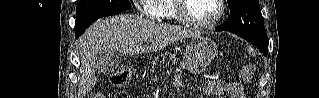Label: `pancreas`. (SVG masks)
Segmentation results:
<instances>
[{
  "mask_svg": "<svg viewBox=\"0 0 319 98\" xmlns=\"http://www.w3.org/2000/svg\"><path fill=\"white\" fill-rule=\"evenodd\" d=\"M161 56H162L163 60H164L165 58H167V59H168V62H176V57H175L174 54H171V53H169V52H166V53L162 54ZM156 60H157V58H156Z\"/></svg>",
  "mask_w": 319,
  "mask_h": 98,
  "instance_id": "pancreas-1",
  "label": "pancreas"
}]
</instances>
